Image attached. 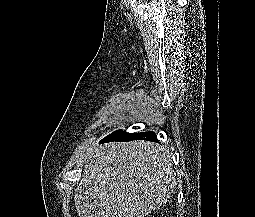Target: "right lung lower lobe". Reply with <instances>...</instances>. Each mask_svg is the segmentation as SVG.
<instances>
[{"mask_svg": "<svg viewBox=\"0 0 255 217\" xmlns=\"http://www.w3.org/2000/svg\"><path fill=\"white\" fill-rule=\"evenodd\" d=\"M132 140H146V141H157V137L154 132H142V133H127L122 130L115 131L101 140V143L106 142H126Z\"/></svg>", "mask_w": 255, "mask_h": 217, "instance_id": "right-lung-lower-lobe-1", "label": "right lung lower lobe"}]
</instances>
